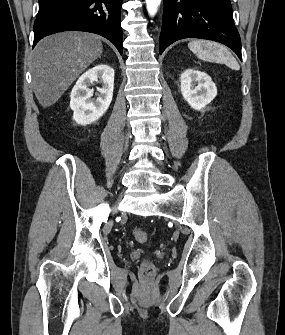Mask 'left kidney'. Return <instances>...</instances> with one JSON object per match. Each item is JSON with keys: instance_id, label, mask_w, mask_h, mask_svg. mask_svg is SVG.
<instances>
[{"instance_id": "5707ae66", "label": "left kidney", "mask_w": 285, "mask_h": 335, "mask_svg": "<svg viewBox=\"0 0 285 335\" xmlns=\"http://www.w3.org/2000/svg\"><path fill=\"white\" fill-rule=\"evenodd\" d=\"M181 94L193 110H202L217 96L216 84L210 76L198 70H185L181 74Z\"/></svg>"}]
</instances>
